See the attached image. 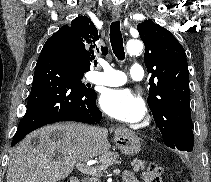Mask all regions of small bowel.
<instances>
[{"label": "small bowel", "instance_id": "c3829d8e", "mask_svg": "<svg viewBox=\"0 0 211 182\" xmlns=\"http://www.w3.org/2000/svg\"><path fill=\"white\" fill-rule=\"evenodd\" d=\"M123 182H138V180L132 173L125 172L123 175Z\"/></svg>", "mask_w": 211, "mask_h": 182}]
</instances>
